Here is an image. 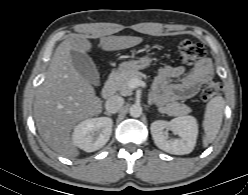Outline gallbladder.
<instances>
[{
  "label": "gallbladder",
  "instance_id": "obj_1",
  "mask_svg": "<svg viewBox=\"0 0 248 195\" xmlns=\"http://www.w3.org/2000/svg\"><path fill=\"white\" fill-rule=\"evenodd\" d=\"M70 56L75 70L91 84L99 85L100 75L93 60L86 53L73 50Z\"/></svg>",
  "mask_w": 248,
  "mask_h": 195
}]
</instances>
